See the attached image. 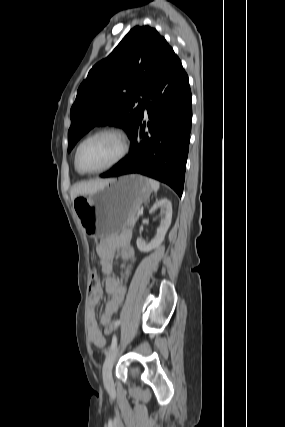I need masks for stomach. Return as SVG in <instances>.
<instances>
[{"instance_id": "0dacf381", "label": "stomach", "mask_w": 285, "mask_h": 427, "mask_svg": "<svg viewBox=\"0 0 285 427\" xmlns=\"http://www.w3.org/2000/svg\"><path fill=\"white\" fill-rule=\"evenodd\" d=\"M152 188L148 178L126 175L111 179L102 189L73 199V209L84 231L92 237L116 235L145 202Z\"/></svg>"}]
</instances>
